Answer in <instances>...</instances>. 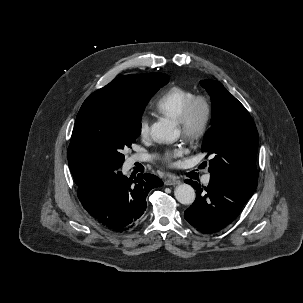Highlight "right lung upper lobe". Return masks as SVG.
<instances>
[{
    "label": "right lung upper lobe",
    "mask_w": 303,
    "mask_h": 303,
    "mask_svg": "<svg viewBox=\"0 0 303 303\" xmlns=\"http://www.w3.org/2000/svg\"><path fill=\"white\" fill-rule=\"evenodd\" d=\"M159 74L162 73L121 76L96 92L110 91L123 96H141L148 92ZM67 159L68 163H76L85 167L89 171V174H93L100 170L90 153L76 147L73 143H70L69 145Z\"/></svg>",
    "instance_id": "cb5924a9"
}]
</instances>
